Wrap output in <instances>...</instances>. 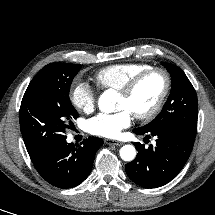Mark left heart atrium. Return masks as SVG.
<instances>
[{"instance_id":"obj_1","label":"left heart atrium","mask_w":215,"mask_h":215,"mask_svg":"<svg viewBox=\"0 0 215 215\" xmlns=\"http://www.w3.org/2000/svg\"><path fill=\"white\" fill-rule=\"evenodd\" d=\"M132 116L128 109L111 114L101 113L88 121V130L96 136L116 138L123 129L131 125Z\"/></svg>"}]
</instances>
